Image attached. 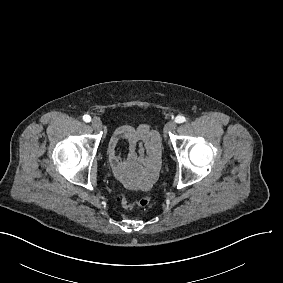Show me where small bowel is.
<instances>
[{
	"mask_svg": "<svg viewBox=\"0 0 283 283\" xmlns=\"http://www.w3.org/2000/svg\"><path fill=\"white\" fill-rule=\"evenodd\" d=\"M122 140H127L133 147L143 145L147 149L148 157L145 154H140L138 161L141 165L149 163V167L138 181H133L130 174V170L134 175L141 173V167L136 163L137 156L130 154L128 159H122L118 154L117 145ZM160 148L161 138L159 132L147 124L139 125L136 128L129 125L117 127L108 145V159L114 176L125 186L131 182L136 183L139 189H142L139 186L141 183L152 185L157 179L161 163Z\"/></svg>",
	"mask_w": 283,
	"mask_h": 283,
	"instance_id": "obj_1",
	"label": "small bowel"
}]
</instances>
